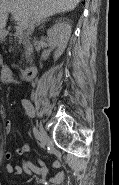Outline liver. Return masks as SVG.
Returning a JSON list of instances; mask_svg holds the SVG:
<instances>
[{"label": "liver", "instance_id": "6515ba94", "mask_svg": "<svg viewBox=\"0 0 119 185\" xmlns=\"http://www.w3.org/2000/svg\"><path fill=\"white\" fill-rule=\"evenodd\" d=\"M81 0H0V29L6 26L7 13L23 28L40 24L46 17L71 11Z\"/></svg>", "mask_w": 119, "mask_h": 185}]
</instances>
